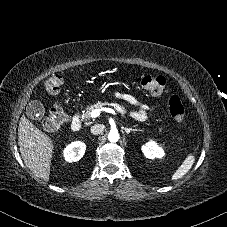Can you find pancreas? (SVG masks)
<instances>
[{"mask_svg": "<svg viewBox=\"0 0 227 227\" xmlns=\"http://www.w3.org/2000/svg\"><path fill=\"white\" fill-rule=\"evenodd\" d=\"M104 106H111L113 107L116 111H118L119 113H121L122 116H125V114L127 113L125 108H123L121 105L117 104V103H102V102H98L97 104H93L90 106L86 107V112L85 114H83V119H90L91 118V112L95 109H102Z\"/></svg>", "mask_w": 227, "mask_h": 227, "instance_id": "pancreas-1", "label": "pancreas"}]
</instances>
